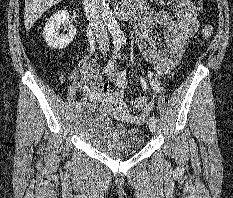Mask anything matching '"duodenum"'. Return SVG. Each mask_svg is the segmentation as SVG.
I'll use <instances>...</instances> for the list:
<instances>
[{"mask_svg":"<svg viewBox=\"0 0 233 198\" xmlns=\"http://www.w3.org/2000/svg\"><path fill=\"white\" fill-rule=\"evenodd\" d=\"M143 0H124L118 9L121 20H128L142 5Z\"/></svg>","mask_w":233,"mask_h":198,"instance_id":"410a0bca","label":"duodenum"}]
</instances>
